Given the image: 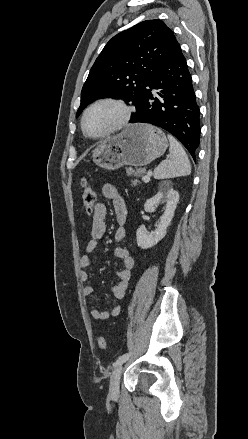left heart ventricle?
Masks as SVG:
<instances>
[{
    "mask_svg": "<svg viewBox=\"0 0 248 439\" xmlns=\"http://www.w3.org/2000/svg\"><path fill=\"white\" fill-rule=\"evenodd\" d=\"M121 110L113 104H101L87 115L85 127L89 134L98 135L114 127L121 119Z\"/></svg>",
    "mask_w": 248,
    "mask_h": 439,
    "instance_id": "obj_1",
    "label": "left heart ventricle"
}]
</instances>
